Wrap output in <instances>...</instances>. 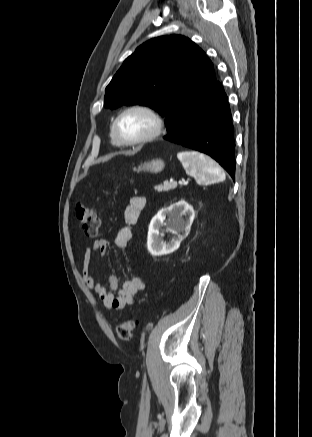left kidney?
Masks as SVG:
<instances>
[{
	"instance_id": "1",
	"label": "left kidney",
	"mask_w": 312,
	"mask_h": 437,
	"mask_svg": "<svg viewBox=\"0 0 312 437\" xmlns=\"http://www.w3.org/2000/svg\"><path fill=\"white\" fill-rule=\"evenodd\" d=\"M189 212V217L183 216ZM167 217V222L165 219ZM195 211L187 202L181 200L161 209L151 220L148 231L147 247L153 256H161L174 252L183 240V234L190 231ZM166 226L175 236L169 242L161 239L160 229Z\"/></svg>"
}]
</instances>
